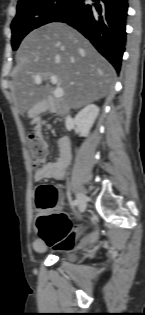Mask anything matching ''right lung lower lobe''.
Wrapping results in <instances>:
<instances>
[{"label":"right lung lower lobe","mask_w":145,"mask_h":315,"mask_svg":"<svg viewBox=\"0 0 145 315\" xmlns=\"http://www.w3.org/2000/svg\"><path fill=\"white\" fill-rule=\"evenodd\" d=\"M74 0L54 22H65L80 31L120 71L126 43L128 0Z\"/></svg>","instance_id":"98d812e1"}]
</instances>
